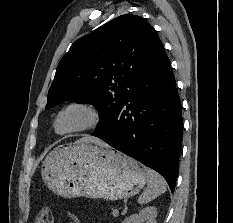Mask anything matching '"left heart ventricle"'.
Masks as SVG:
<instances>
[{
  "label": "left heart ventricle",
  "instance_id": "b2bd125f",
  "mask_svg": "<svg viewBox=\"0 0 233 223\" xmlns=\"http://www.w3.org/2000/svg\"><path fill=\"white\" fill-rule=\"evenodd\" d=\"M93 121L91 114L79 107H73L64 111L58 118L56 129L60 133H67L82 129Z\"/></svg>",
  "mask_w": 233,
  "mask_h": 223
}]
</instances>
